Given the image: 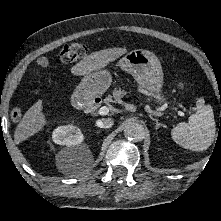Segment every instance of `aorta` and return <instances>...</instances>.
<instances>
[{
	"label": "aorta",
	"mask_w": 221,
	"mask_h": 221,
	"mask_svg": "<svg viewBox=\"0 0 221 221\" xmlns=\"http://www.w3.org/2000/svg\"><path fill=\"white\" fill-rule=\"evenodd\" d=\"M145 135L144 127L137 122L128 121L124 125V136L134 142H139L143 140Z\"/></svg>",
	"instance_id": "762f6f07"
}]
</instances>
